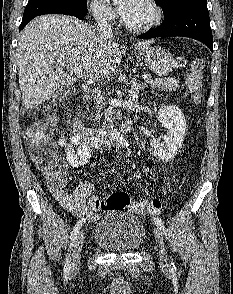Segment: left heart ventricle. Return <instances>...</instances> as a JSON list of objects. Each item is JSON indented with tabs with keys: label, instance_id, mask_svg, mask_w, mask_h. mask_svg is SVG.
Wrapping results in <instances>:
<instances>
[{
	"label": "left heart ventricle",
	"instance_id": "1",
	"mask_svg": "<svg viewBox=\"0 0 233 294\" xmlns=\"http://www.w3.org/2000/svg\"><path fill=\"white\" fill-rule=\"evenodd\" d=\"M151 17V8L144 0H140L135 10L125 20L133 25H141L148 22Z\"/></svg>",
	"mask_w": 233,
	"mask_h": 294
}]
</instances>
